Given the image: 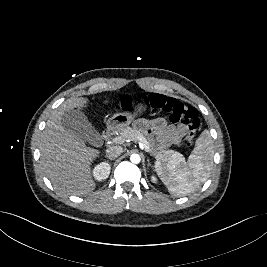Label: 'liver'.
<instances>
[{"label": "liver", "instance_id": "1", "mask_svg": "<svg viewBox=\"0 0 267 267\" xmlns=\"http://www.w3.org/2000/svg\"><path fill=\"white\" fill-rule=\"evenodd\" d=\"M88 99L75 97L62 103L49 117L40 140V164L54 188L70 195H85L94 190L91 165L100 151L62 125L64 112L83 108Z\"/></svg>", "mask_w": 267, "mask_h": 267}]
</instances>
